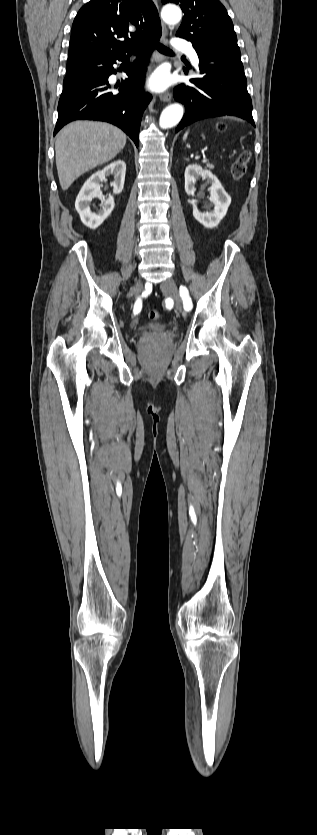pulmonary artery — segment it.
<instances>
[{
  "instance_id": "pulmonary-artery-1",
  "label": "pulmonary artery",
  "mask_w": 317,
  "mask_h": 835,
  "mask_svg": "<svg viewBox=\"0 0 317 835\" xmlns=\"http://www.w3.org/2000/svg\"><path fill=\"white\" fill-rule=\"evenodd\" d=\"M173 46L175 49L186 53L194 65H198V54L191 43L184 40H177L174 42Z\"/></svg>"
}]
</instances>
